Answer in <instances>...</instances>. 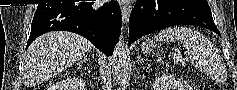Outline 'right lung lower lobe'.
Returning a JSON list of instances; mask_svg holds the SVG:
<instances>
[{
  "mask_svg": "<svg viewBox=\"0 0 237 90\" xmlns=\"http://www.w3.org/2000/svg\"><path fill=\"white\" fill-rule=\"evenodd\" d=\"M121 25V10L115 1L101 7H93V2L40 4L31 24L26 49L46 32L65 30L82 35L110 56L120 36Z\"/></svg>",
  "mask_w": 237,
  "mask_h": 90,
  "instance_id": "right-lung-lower-lobe-1",
  "label": "right lung lower lobe"
}]
</instances>
